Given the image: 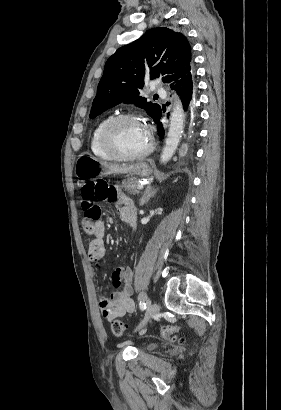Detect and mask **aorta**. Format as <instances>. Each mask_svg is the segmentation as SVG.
Segmentation results:
<instances>
[{"mask_svg": "<svg viewBox=\"0 0 281 410\" xmlns=\"http://www.w3.org/2000/svg\"><path fill=\"white\" fill-rule=\"evenodd\" d=\"M184 129V112L182 102L179 98L175 99L171 117L169 131L165 146L161 154V162L167 163L176 151Z\"/></svg>", "mask_w": 281, "mask_h": 410, "instance_id": "aorta-1", "label": "aorta"}]
</instances>
